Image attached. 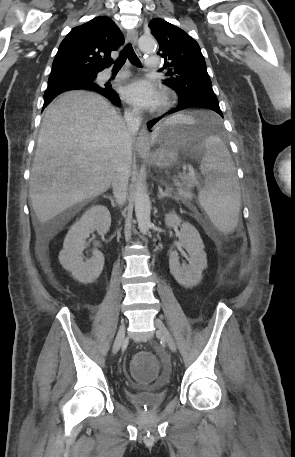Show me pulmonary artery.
Returning <instances> with one entry per match:
<instances>
[{"label":"pulmonary artery","instance_id":"pulmonary-artery-1","mask_svg":"<svg viewBox=\"0 0 295 457\" xmlns=\"http://www.w3.org/2000/svg\"><path fill=\"white\" fill-rule=\"evenodd\" d=\"M145 65L150 70L157 69L160 66V59L154 55L149 56L145 60ZM125 76H126V73H120L117 75V78L121 79V78H124ZM110 77H111V75L109 73H105L102 76V78L104 80H108V79H110Z\"/></svg>","mask_w":295,"mask_h":457}]
</instances>
